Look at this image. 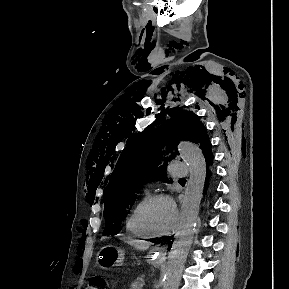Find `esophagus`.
Returning a JSON list of instances; mask_svg holds the SVG:
<instances>
[{
    "label": "esophagus",
    "mask_w": 289,
    "mask_h": 289,
    "mask_svg": "<svg viewBox=\"0 0 289 289\" xmlns=\"http://www.w3.org/2000/svg\"><path fill=\"white\" fill-rule=\"evenodd\" d=\"M159 250L162 252L163 256L166 255V247L165 246L160 247Z\"/></svg>",
    "instance_id": "34e87169"
}]
</instances>
